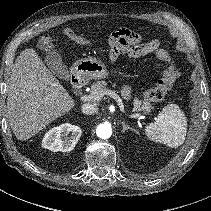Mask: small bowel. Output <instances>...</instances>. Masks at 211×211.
<instances>
[{
  "label": "small bowel",
  "mask_w": 211,
  "mask_h": 211,
  "mask_svg": "<svg viewBox=\"0 0 211 211\" xmlns=\"http://www.w3.org/2000/svg\"><path fill=\"white\" fill-rule=\"evenodd\" d=\"M113 42H114V41L112 40V41L110 42V45H111ZM123 94H124V96H125L126 98H128L129 95H130L129 88L125 87V88L123 89Z\"/></svg>",
  "instance_id": "obj_1"
}]
</instances>
